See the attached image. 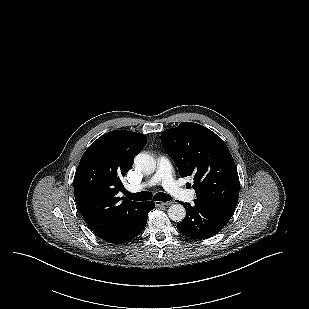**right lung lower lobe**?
<instances>
[{
  "label": "right lung lower lobe",
  "instance_id": "98d812e1",
  "mask_svg": "<svg viewBox=\"0 0 309 309\" xmlns=\"http://www.w3.org/2000/svg\"><path fill=\"white\" fill-rule=\"evenodd\" d=\"M153 208L154 203L152 201L141 202L117 228L99 238L111 244H122L136 238L144 229L148 212Z\"/></svg>",
  "mask_w": 309,
  "mask_h": 309
}]
</instances>
